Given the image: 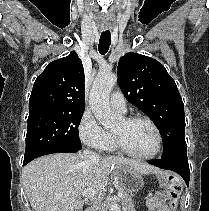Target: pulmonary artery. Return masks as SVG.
Segmentation results:
<instances>
[{
    "mask_svg": "<svg viewBox=\"0 0 209 211\" xmlns=\"http://www.w3.org/2000/svg\"><path fill=\"white\" fill-rule=\"evenodd\" d=\"M110 105L119 112H126V102L121 92H114L110 97Z\"/></svg>",
    "mask_w": 209,
    "mask_h": 211,
    "instance_id": "pulmonary-artery-1",
    "label": "pulmonary artery"
}]
</instances>
